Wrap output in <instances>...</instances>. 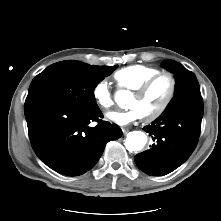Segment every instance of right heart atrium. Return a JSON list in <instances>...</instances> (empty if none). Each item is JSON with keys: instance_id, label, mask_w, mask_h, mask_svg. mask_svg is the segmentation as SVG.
<instances>
[{"instance_id": "1", "label": "right heart atrium", "mask_w": 221, "mask_h": 221, "mask_svg": "<svg viewBox=\"0 0 221 221\" xmlns=\"http://www.w3.org/2000/svg\"><path fill=\"white\" fill-rule=\"evenodd\" d=\"M93 97L98 106L103 110H109L113 105V95L105 80L98 82L93 88Z\"/></svg>"}]
</instances>
